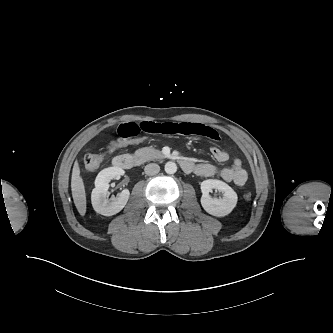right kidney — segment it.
<instances>
[{
	"mask_svg": "<svg viewBox=\"0 0 333 333\" xmlns=\"http://www.w3.org/2000/svg\"><path fill=\"white\" fill-rule=\"evenodd\" d=\"M124 170L119 167H109L103 169L96 177L95 188L91 194V202L94 210L104 216H112L120 212L126 205L130 192L127 189L114 198L109 199L107 191L109 182L112 179L120 178Z\"/></svg>",
	"mask_w": 333,
	"mask_h": 333,
	"instance_id": "1",
	"label": "right kidney"
}]
</instances>
